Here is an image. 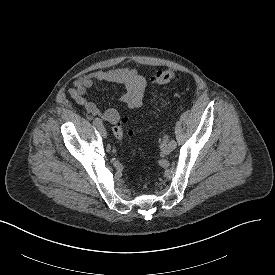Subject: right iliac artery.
<instances>
[{"mask_svg": "<svg viewBox=\"0 0 275 275\" xmlns=\"http://www.w3.org/2000/svg\"><path fill=\"white\" fill-rule=\"evenodd\" d=\"M93 124H94L96 127H98V126L101 124V120L98 119V118H95V119L93 120Z\"/></svg>", "mask_w": 275, "mask_h": 275, "instance_id": "obj_1", "label": "right iliac artery"}]
</instances>
